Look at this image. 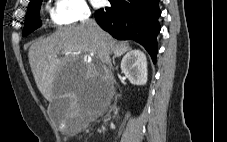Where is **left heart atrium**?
Instances as JSON below:
<instances>
[{
	"instance_id": "39dd6f15",
	"label": "left heart atrium",
	"mask_w": 227,
	"mask_h": 142,
	"mask_svg": "<svg viewBox=\"0 0 227 142\" xmlns=\"http://www.w3.org/2000/svg\"><path fill=\"white\" fill-rule=\"evenodd\" d=\"M91 3L95 6V7H100L103 5L104 0H91Z\"/></svg>"
}]
</instances>
